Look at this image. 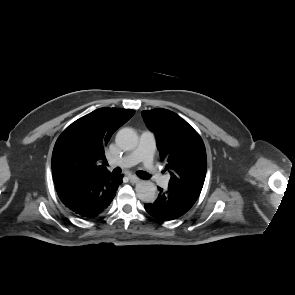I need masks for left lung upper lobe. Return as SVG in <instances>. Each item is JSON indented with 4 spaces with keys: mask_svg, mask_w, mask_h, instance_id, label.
Returning a JSON list of instances; mask_svg holds the SVG:
<instances>
[{
    "mask_svg": "<svg viewBox=\"0 0 295 295\" xmlns=\"http://www.w3.org/2000/svg\"><path fill=\"white\" fill-rule=\"evenodd\" d=\"M147 127L154 132L163 172L171 175L169 187L200 194L207 169V157L200 135L179 115L167 109L142 111Z\"/></svg>",
    "mask_w": 295,
    "mask_h": 295,
    "instance_id": "left-lung-upper-lobe-1",
    "label": "left lung upper lobe"
}]
</instances>
